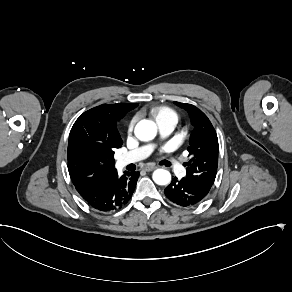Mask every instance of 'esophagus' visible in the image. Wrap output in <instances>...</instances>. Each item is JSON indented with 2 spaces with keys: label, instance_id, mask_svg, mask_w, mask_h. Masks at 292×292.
<instances>
[{
  "label": "esophagus",
  "instance_id": "esophagus-1",
  "mask_svg": "<svg viewBox=\"0 0 292 292\" xmlns=\"http://www.w3.org/2000/svg\"><path fill=\"white\" fill-rule=\"evenodd\" d=\"M155 166H152V165H145L144 167H143V169L146 171V172H151V171H153V170H155Z\"/></svg>",
  "mask_w": 292,
  "mask_h": 292
}]
</instances>
